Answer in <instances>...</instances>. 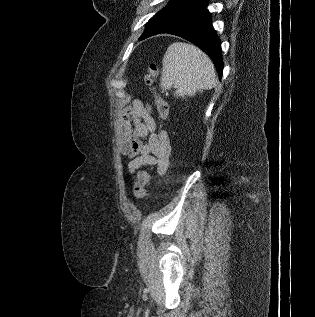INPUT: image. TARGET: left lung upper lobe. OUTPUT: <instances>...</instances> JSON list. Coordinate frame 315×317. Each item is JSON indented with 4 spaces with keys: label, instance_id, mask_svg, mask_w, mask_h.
<instances>
[{
    "label": "left lung upper lobe",
    "instance_id": "5c2ea615",
    "mask_svg": "<svg viewBox=\"0 0 315 317\" xmlns=\"http://www.w3.org/2000/svg\"><path fill=\"white\" fill-rule=\"evenodd\" d=\"M200 0H171L165 8L156 13L147 23L139 39L160 34L170 28L181 16Z\"/></svg>",
    "mask_w": 315,
    "mask_h": 317
}]
</instances>
